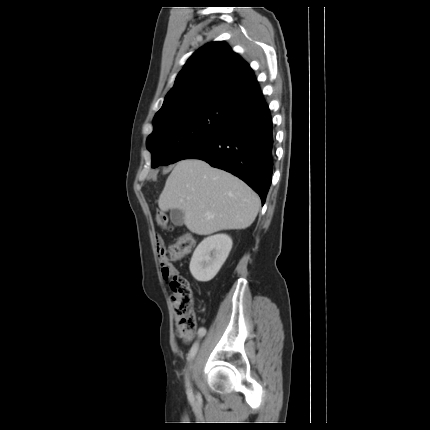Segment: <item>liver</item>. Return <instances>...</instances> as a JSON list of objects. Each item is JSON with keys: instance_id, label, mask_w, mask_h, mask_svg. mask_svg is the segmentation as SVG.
Wrapping results in <instances>:
<instances>
[{"instance_id": "liver-1", "label": "liver", "mask_w": 430, "mask_h": 430, "mask_svg": "<svg viewBox=\"0 0 430 430\" xmlns=\"http://www.w3.org/2000/svg\"><path fill=\"white\" fill-rule=\"evenodd\" d=\"M162 211L179 209L186 227L195 234L246 229L255 220L260 199L235 175L204 160L176 164L159 196Z\"/></svg>"}]
</instances>
